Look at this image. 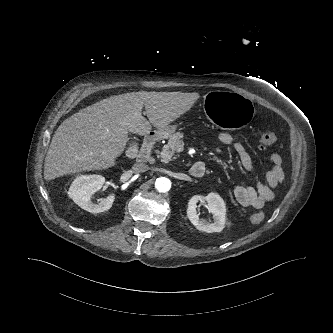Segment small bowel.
Returning <instances> with one entry per match:
<instances>
[{
	"mask_svg": "<svg viewBox=\"0 0 333 333\" xmlns=\"http://www.w3.org/2000/svg\"><path fill=\"white\" fill-rule=\"evenodd\" d=\"M219 140L222 144L231 146L234 149L245 171H252V157L243 144L235 140L234 136L229 132H222L219 135ZM271 163V169L266 174V184L257 181L252 186L237 185L234 187L233 195L240 204L259 209L274 198L277 186L284 180V173L282 170V158L278 154L271 156Z\"/></svg>",
	"mask_w": 333,
	"mask_h": 333,
	"instance_id": "c3829d8e",
	"label": "small bowel"
}]
</instances>
